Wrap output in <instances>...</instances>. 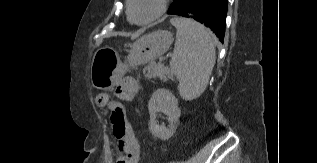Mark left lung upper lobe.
I'll return each instance as SVG.
<instances>
[{"instance_id":"1","label":"left lung upper lobe","mask_w":317,"mask_h":163,"mask_svg":"<svg viewBox=\"0 0 317 163\" xmlns=\"http://www.w3.org/2000/svg\"><path fill=\"white\" fill-rule=\"evenodd\" d=\"M180 0H174V2L170 5V8H169V11L168 12H171L173 10L176 9V7L178 6Z\"/></svg>"}]
</instances>
